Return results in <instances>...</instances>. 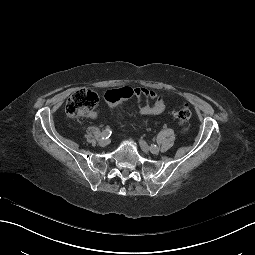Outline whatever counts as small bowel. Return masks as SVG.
Segmentation results:
<instances>
[{
  "label": "small bowel",
  "instance_id": "small-bowel-1",
  "mask_svg": "<svg viewBox=\"0 0 255 255\" xmlns=\"http://www.w3.org/2000/svg\"><path fill=\"white\" fill-rule=\"evenodd\" d=\"M135 95L142 100L138 109V114L141 116L159 115L166 109L167 103L165 97L152 89L135 88ZM85 117L95 119L98 117V113L92 111L85 115Z\"/></svg>",
  "mask_w": 255,
  "mask_h": 255
}]
</instances>
